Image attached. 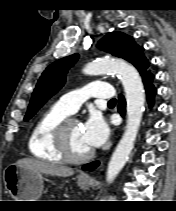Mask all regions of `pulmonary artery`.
Returning <instances> with one entry per match:
<instances>
[{"instance_id":"obj_1","label":"pulmonary artery","mask_w":176,"mask_h":211,"mask_svg":"<svg viewBox=\"0 0 176 211\" xmlns=\"http://www.w3.org/2000/svg\"><path fill=\"white\" fill-rule=\"evenodd\" d=\"M114 91L109 83L94 81L83 88L66 93L58 100V104L68 113L73 114L90 98L112 99Z\"/></svg>"}]
</instances>
